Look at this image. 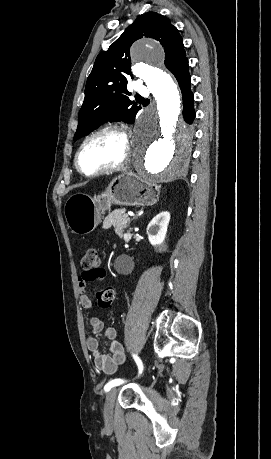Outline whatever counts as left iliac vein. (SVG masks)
<instances>
[{"label": "left iliac vein", "instance_id": "4c4485c4", "mask_svg": "<svg viewBox=\"0 0 271 459\" xmlns=\"http://www.w3.org/2000/svg\"><path fill=\"white\" fill-rule=\"evenodd\" d=\"M116 395L117 391L115 388L110 389L106 394V417H110L113 414Z\"/></svg>", "mask_w": 271, "mask_h": 459}]
</instances>
